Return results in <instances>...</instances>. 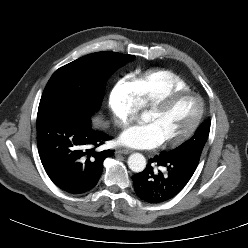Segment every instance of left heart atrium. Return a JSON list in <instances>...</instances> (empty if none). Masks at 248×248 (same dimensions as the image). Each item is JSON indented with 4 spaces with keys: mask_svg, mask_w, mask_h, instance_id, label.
Listing matches in <instances>:
<instances>
[{
    "mask_svg": "<svg viewBox=\"0 0 248 248\" xmlns=\"http://www.w3.org/2000/svg\"><path fill=\"white\" fill-rule=\"evenodd\" d=\"M119 143L136 149H151L159 146L161 140L153 125L143 123L122 132L119 136Z\"/></svg>",
    "mask_w": 248,
    "mask_h": 248,
    "instance_id": "left-heart-atrium-1",
    "label": "left heart atrium"
}]
</instances>
